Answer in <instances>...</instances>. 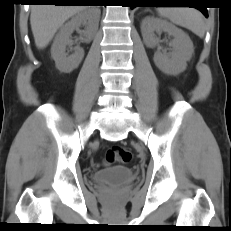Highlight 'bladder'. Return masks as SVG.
<instances>
[{
  "label": "bladder",
  "instance_id": "obj_1",
  "mask_svg": "<svg viewBox=\"0 0 231 231\" xmlns=\"http://www.w3.org/2000/svg\"><path fill=\"white\" fill-rule=\"evenodd\" d=\"M134 179V172L126 167L109 168L91 174L92 182L99 186H119L131 183Z\"/></svg>",
  "mask_w": 231,
  "mask_h": 231
}]
</instances>
